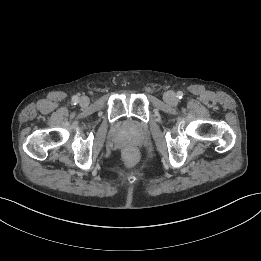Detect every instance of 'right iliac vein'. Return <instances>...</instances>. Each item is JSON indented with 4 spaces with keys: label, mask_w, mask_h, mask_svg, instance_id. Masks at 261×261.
<instances>
[{
    "label": "right iliac vein",
    "mask_w": 261,
    "mask_h": 261,
    "mask_svg": "<svg viewBox=\"0 0 261 261\" xmlns=\"http://www.w3.org/2000/svg\"><path fill=\"white\" fill-rule=\"evenodd\" d=\"M81 106H87L89 104V99L86 96H82L79 100Z\"/></svg>",
    "instance_id": "obj_1"
}]
</instances>
